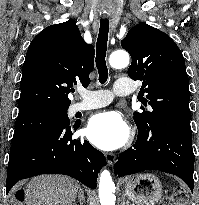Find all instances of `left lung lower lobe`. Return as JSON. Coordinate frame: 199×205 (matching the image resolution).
Listing matches in <instances>:
<instances>
[{"mask_svg":"<svg viewBox=\"0 0 199 205\" xmlns=\"http://www.w3.org/2000/svg\"><path fill=\"white\" fill-rule=\"evenodd\" d=\"M145 170L174 174L193 192L194 153L189 120L161 117L149 129H138L134 147L120 154L114 172L121 177Z\"/></svg>","mask_w":199,"mask_h":205,"instance_id":"0a47b994","label":"left lung lower lobe"}]
</instances>
